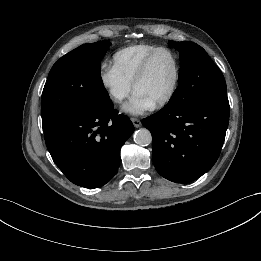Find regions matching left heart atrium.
<instances>
[{
    "mask_svg": "<svg viewBox=\"0 0 261 261\" xmlns=\"http://www.w3.org/2000/svg\"><path fill=\"white\" fill-rule=\"evenodd\" d=\"M154 103L138 91H134L130 100L123 106L129 114L139 115L153 108Z\"/></svg>",
    "mask_w": 261,
    "mask_h": 261,
    "instance_id": "obj_1",
    "label": "left heart atrium"
}]
</instances>
